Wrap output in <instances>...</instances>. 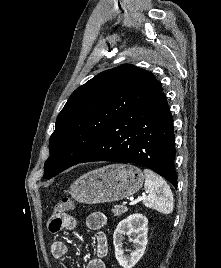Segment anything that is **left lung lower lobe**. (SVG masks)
Returning a JSON list of instances; mask_svg holds the SVG:
<instances>
[{"mask_svg":"<svg viewBox=\"0 0 221 268\" xmlns=\"http://www.w3.org/2000/svg\"><path fill=\"white\" fill-rule=\"evenodd\" d=\"M173 117L162 92L117 118L79 162L114 161L148 167L177 187Z\"/></svg>","mask_w":221,"mask_h":268,"instance_id":"1","label":"left lung lower lobe"}]
</instances>
